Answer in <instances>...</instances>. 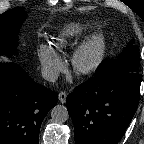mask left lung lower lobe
<instances>
[{"instance_id":"0a47b994","label":"left lung lower lobe","mask_w":144,"mask_h":144,"mask_svg":"<svg viewBox=\"0 0 144 144\" xmlns=\"http://www.w3.org/2000/svg\"><path fill=\"white\" fill-rule=\"evenodd\" d=\"M103 65L98 67L94 77L67 96L75 144H117L138 107L140 74L106 75Z\"/></svg>"}]
</instances>
